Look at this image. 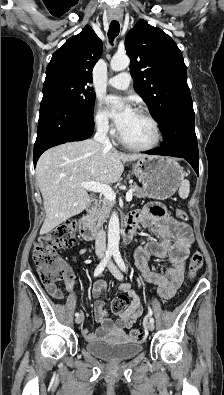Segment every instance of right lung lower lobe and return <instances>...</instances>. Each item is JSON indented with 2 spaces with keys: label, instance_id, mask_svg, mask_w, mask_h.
Returning a JSON list of instances; mask_svg holds the SVG:
<instances>
[{
  "label": "right lung lower lobe",
  "instance_id": "right-lung-lower-lobe-1",
  "mask_svg": "<svg viewBox=\"0 0 224 395\" xmlns=\"http://www.w3.org/2000/svg\"><path fill=\"white\" fill-rule=\"evenodd\" d=\"M94 129L93 114L81 112L52 98L41 102L34 166L47 149L66 142L89 138Z\"/></svg>",
  "mask_w": 224,
  "mask_h": 395
}]
</instances>
